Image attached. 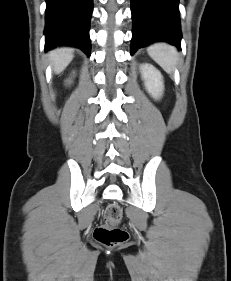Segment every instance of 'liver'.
Masks as SVG:
<instances>
[{
	"instance_id": "6515ba94",
	"label": "liver",
	"mask_w": 231,
	"mask_h": 281,
	"mask_svg": "<svg viewBox=\"0 0 231 281\" xmlns=\"http://www.w3.org/2000/svg\"><path fill=\"white\" fill-rule=\"evenodd\" d=\"M50 60L53 64L54 72H62L73 59V50L71 48H57L49 53Z\"/></svg>"
}]
</instances>
